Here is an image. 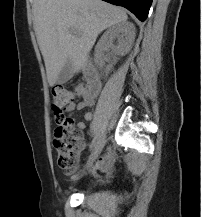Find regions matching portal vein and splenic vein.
<instances>
[{"label":"portal vein and splenic vein","instance_id":"portal-vein-and-splenic-vein-1","mask_svg":"<svg viewBox=\"0 0 202 217\" xmlns=\"http://www.w3.org/2000/svg\"><path fill=\"white\" fill-rule=\"evenodd\" d=\"M71 31H72L73 33L77 34V32H76L74 29H72Z\"/></svg>","mask_w":202,"mask_h":217}]
</instances>
